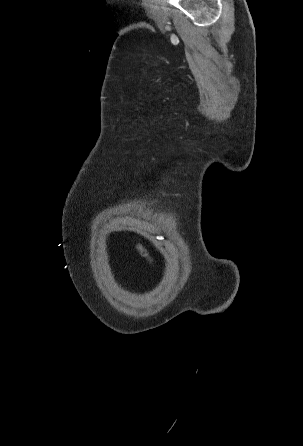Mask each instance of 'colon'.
Wrapping results in <instances>:
<instances>
[{"label": "colon", "mask_w": 303, "mask_h": 446, "mask_svg": "<svg viewBox=\"0 0 303 446\" xmlns=\"http://www.w3.org/2000/svg\"><path fill=\"white\" fill-rule=\"evenodd\" d=\"M137 249H138L139 253H140L143 257L149 259L148 252H147V250H146L144 247H142L141 245H139V246L137 247Z\"/></svg>", "instance_id": "obj_1"}]
</instances>
